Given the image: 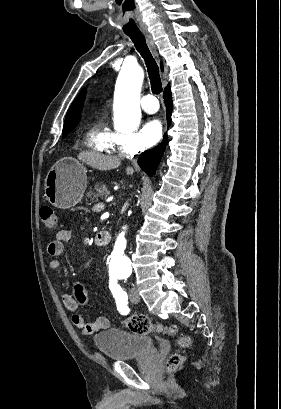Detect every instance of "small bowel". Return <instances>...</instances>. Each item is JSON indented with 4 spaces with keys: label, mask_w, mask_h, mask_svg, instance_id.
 <instances>
[{
    "label": "small bowel",
    "mask_w": 281,
    "mask_h": 409,
    "mask_svg": "<svg viewBox=\"0 0 281 409\" xmlns=\"http://www.w3.org/2000/svg\"><path fill=\"white\" fill-rule=\"evenodd\" d=\"M72 233L69 229H61L58 231L55 239L48 245V252L53 257H58L63 254L65 243L71 239ZM50 269L56 272H61V262L54 258L49 263ZM63 303L67 310L71 313V322L74 326L80 329L83 335H91L99 331L106 330L110 327L109 319L99 317L95 321H87L80 313V305H86L89 302V293L85 286L81 283L75 284L74 293L65 291L62 296Z\"/></svg>",
    "instance_id": "c3829d8e"
}]
</instances>
